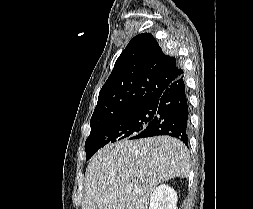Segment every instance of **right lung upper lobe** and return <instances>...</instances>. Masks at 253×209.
Listing matches in <instances>:
<instances>
[{
    "label": "right lung upper lobe",
    "mask_w": 253,
    "mask_h": 209,
    "mask_svg": "<svg viewBox=\"0 0 253 209\" xmlns=\"http://www.w3.org/2000/svg\"><path fill=\"white\" fill-rule=\"evenodd\" d=\"M182 74L177 59L164 54L152 34L135 36L101 88L91 120L151 104Z\"/></svg>",
    "instance_id": "1"
}]
</instances>
